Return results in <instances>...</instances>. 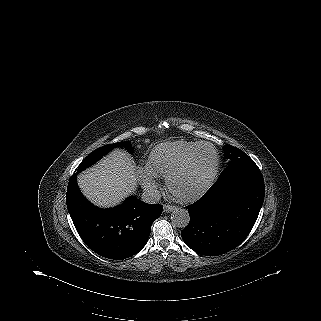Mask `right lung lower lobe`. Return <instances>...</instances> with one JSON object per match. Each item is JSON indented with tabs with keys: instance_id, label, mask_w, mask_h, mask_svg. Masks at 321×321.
Segmentation results:
<instances>
[{
	"instance_id": "right-lung-lower-lobe-1",
	"label": "right lung lower lobe",
	"mask_w": 321,
	"mask_h": 321,
	"mask_svg": "<svg viewBox=\"0 0 321 321\" xmlns=\"http://www.w3.org/2000/svg\"><path fill=\"white\" fill-rule=\"evenodd\" d=\"M66 201L84 243L100 256L114 260L131 257L142 250L152 223L163 209L161 205L147 204L135 197L111 209L98 208L82 195L76 174L70 178Z\"/></svg>"
}]
</instances>
